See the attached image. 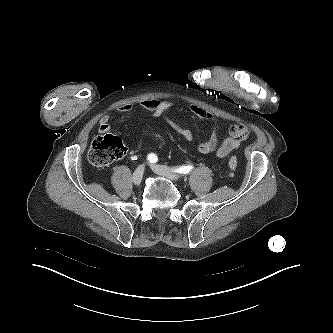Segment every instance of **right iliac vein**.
Returning <instances> with one entry per match:
<instances>
[{
    "mask_svg": "<svg viewBox=\"0 0 333 333\" xmlns=\"http://www.w3.org/2000/svg\"><path fill=\"white\" fill-rule=\"evenodd\" d=\"M143 174H144V166H139L133 173L132 177L133 183L135 185H139L142 182Z\"/></svg>",
    "mask_w": 333,
    "mask_h": 333,
    "instance_id": "1",
    "label": "right iliac vein"
}]
</instances>
